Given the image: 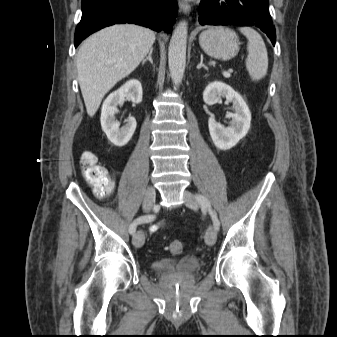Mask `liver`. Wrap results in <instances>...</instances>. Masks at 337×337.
<instances>
[{
	"mask_svg": "<svg viewBox=\"0 0 337 337\" xmlns=\"http://www.w3.org/2000/svg\"><path fill=\"white\" fill-rule=\"evenodd\" d=\"M155 39L148 28L124 24L102 29L84 41L77 54V72L90 117L105 94L137 68Z\"/></svg>",
	"mask_w": 337,
	"mask_h": 337,
	"instance_id": "6515ba94",
	"label": "liver"
}]
</instances>
